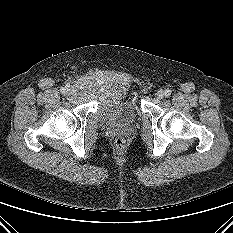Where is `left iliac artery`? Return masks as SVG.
Segmentation results:
<instances>
[{"instance_id":"left-iliac-artery-1","label":"left iliac artery","mask_w":233,"mask_h":233,"mask_svg":"<svg viewBox=\"0 0 233 233\" xmlns=\"http://www.w3.org/2000/svg\"><path fill=\"white\" fill-rule=\"evenodd\" d=\"M165 95H166V96H170V95H171V90L166 89V90H165Z\"/></svg>"}]
</instances>
